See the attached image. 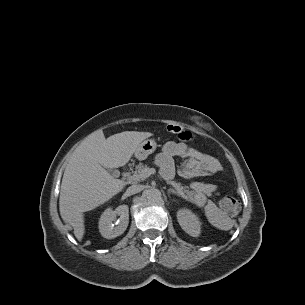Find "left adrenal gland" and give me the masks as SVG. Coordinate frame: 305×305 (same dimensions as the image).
<instances>
[{
  "instance_id": "left-adrenal-gland-1",
  "label": "left adrenal gland",
  "mask_w": 305,
  "mask_h": 305,
  "mask_svg": "<svg viewBox=\"0 0 305 305\" xmlns=\"http://www.w3.org/2000/svg\"><path fill=\"white\" fill-rule=\"evenodd\" d=\"M169 193L177 194L178 196L180 195L177 191H175V190L172 189V188L168 189V194H169Z\"/></svg>"
}]
</instances>
